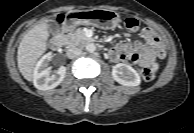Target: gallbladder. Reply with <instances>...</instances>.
Segmentation results:
<instances>
[{
  "mask_svg": "<svg viewBox=\"0 0 194 133\" xmlns=\"http://www.w3.org/2000/svg\"><path fill=\"white\" fill-rule=\"evenodd\" d=\"M49 27L54 33H59L60 32V26L59 23L56 19H50L49 20Z\"/></svg>",
  "mask_w": 194,
  "mask_h": 133,
  "instance_id": "obj_1",
  "label": "gallbladder"
}]
</instances>
